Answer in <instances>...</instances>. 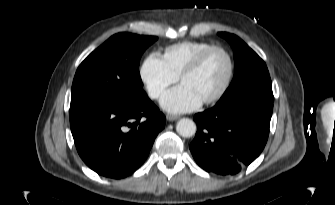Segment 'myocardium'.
Here are the masks:
<instances>
[{
	"instance_id": "1",
	"label": "myocardium",
	"mask_w": 335,
	"mask_h": 205,
	"mask_svg": "<svg viewBox=\"0 0 335 205\" xmlns=\"http://www.w3.org/2000/svg\"><path fill=\"white\" fill-rule=\"evenodd\" d=\"M214 51H220L226 56V58L228 60V64H229V70H228V74L226 76V79L223 82L220 89L213 96H211L210 98L202 101V103L205 104V105H210V104H214V103L218 102L227 93V91H228V89H229V87L232 83L234 74H235V62H234L232 54L225 47L218 46V45H212V46L206 48L205 50H203L202 52H200L185 67V69L179 75V80H180V82H182L185 77L195 73L202 66L203 62L208 57V55L211 54Z\"/></svg>"
}]
</instances>
